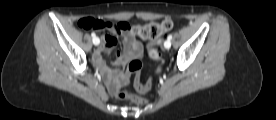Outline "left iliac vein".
Returning <instances> with one entry per match:
<instances>
[{
    "instance_id": "obj_1",
    "label": "left iliac vein",
    "mask_w": 276,
    "mask_h": 120,
    "mask_svg": "<svg viewBox=\"0 0 276 120\" xmlns=\"http://www.w3.org/2000/svg\"><path fill=\"white\" fill-rule=\"evenodd\" d=\"M167 45V47H165L166 49H169L171 47V42L169 40L165 41V43Z\"/></svg>"
}]
</instances>
